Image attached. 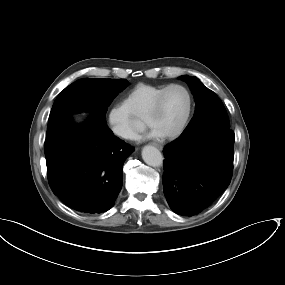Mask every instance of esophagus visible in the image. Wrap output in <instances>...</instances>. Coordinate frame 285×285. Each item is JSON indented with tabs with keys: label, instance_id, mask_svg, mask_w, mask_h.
<instances>
[{
	"label": "esophagus",
	"instance_id": "1",
	"mask_svg": "<svg viewBox=\"0 0 285 285\" xmlns=\"http://www.w3.org/2000/svg\"><path fill=\"white\" fill-rule=\"evenodd\" d=\"M153 145H154L155 147H157L159 150H162V149H163V146L160 145V144H158V143H153Z\"/></svg>",
	"mask_w": 285,
	"mask_h": 285
}]
</instances>
